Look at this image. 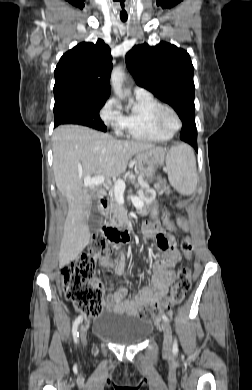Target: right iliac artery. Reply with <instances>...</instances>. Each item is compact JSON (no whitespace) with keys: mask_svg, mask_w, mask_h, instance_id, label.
<instances>
[{"mask_svg":"<svg viewBox=\"0 0 252 390\" xmlns=\"http://www.w3.org/2000/svg\"><path fill=\"white\" fill-rule=\"evenodd\" d=\"M81 320H82V316L80 315L75 319L73 326H72V334H73V339H74L75 343L78 342V337H79L78 326H79Z\"/></svg>","mask_w":252,"mask_h":390,"instance_id":"right-iliac-artery-1","label":"right iliac artery"}]
</instances>
